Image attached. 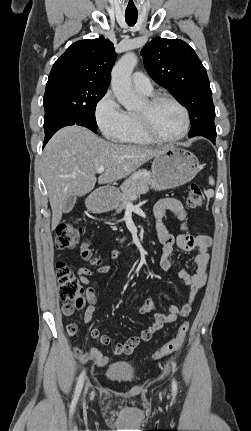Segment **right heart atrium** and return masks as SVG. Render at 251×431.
I'll use <instances>...</instances> for the list:
<instances>
[{"instance_id": "d8ad5b80", "label": "right heart atrium", "mask_w": 251, "mask_h": 431, "mask_svg": "<svg viewBox=\"0 0 251 431\" xmlns=\"http://www.w3.org/2000/svg\"><path fill=\"white\" fill-rule=\"evenodd\" d=\"M94 117L100 131L109 139H117L127 126V112L111 91H107L96 103Z\"/></svg>"}]
</instances>
